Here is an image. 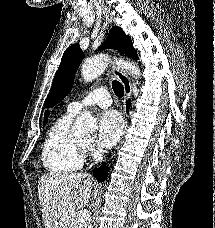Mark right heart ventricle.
<instances>
[{"label":"right heart ventricle","mask_w":215,"mask_h":228,"mask_svg":"<svg viewBox=\"0 0 215 228\" xmlns=\"http://www.w3.org/2000/svg\"><path fill=\"white\" fill-rule=\"evenodd\" d=\"M72 113L61 115L47 130L43 147L44 168L55 174L77 171L83 162V145L70 129Z\"/></svg>","instance_id":"e07e8e85"}]
</instances>
